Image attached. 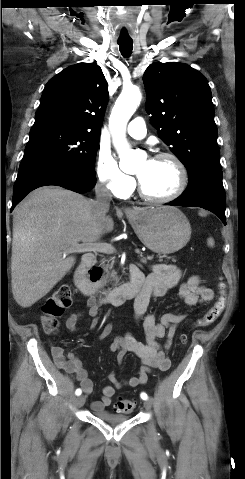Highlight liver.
<instances>
[{
    "label": "liver",
    "instance_id": "6515ba94",
    "mask_svg": "<svg viewBox=\"0 0 245 479\" xmlns=\"http://www.w3.org/2000/svg\"><path fill=\"white\" fill-rule=\"evenodd\" d=\"M91 200L56 186L41 187L18 204L13 215L12 293L23 308L32 306L70 271L74 242L94 243L113 230Z\"/></svg>",
    "mask_w": 245,
    "mask_h": 479
}]
</instances>
